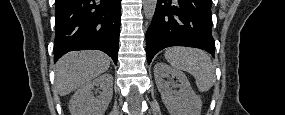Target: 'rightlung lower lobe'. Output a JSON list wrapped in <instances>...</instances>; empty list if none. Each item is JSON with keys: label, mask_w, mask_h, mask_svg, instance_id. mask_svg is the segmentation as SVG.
I'll return each instance as SVG.
<instances>
[{"label": "right lung lower lobe", "mask_w": 285, "mask_h": 115, "mask_svg": "<svg viewBox=\"0 0 285 115\" xmlns=\"http://www.w3.org/2000/svg\"><path fill=\"white\" fill-rule=\"evenodd\" d=\"M121 0H55L54 61L67 52L97 49L117 64Z\"/></svg>", "instance_id": "obj_1"}]
</instances>
